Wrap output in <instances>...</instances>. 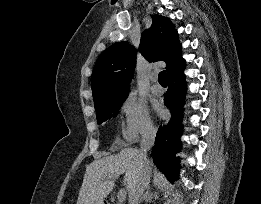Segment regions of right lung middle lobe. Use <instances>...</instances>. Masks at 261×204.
<instances>
[{"label": "right lung middle lobe", "instance_id": "1", "mask_svg": "<svg viewBox=\"0 0 261 204\" xmlns=\"http://www.w3.org/2000/svg\"><path fill=\"white\" fill-rule=\"evenodd\" d=\"M126 97L127 96H124L114 102L97 105L95 107V110H96L98 124H101L102 122L112 117H116L119 108L121 107Z\"/></svg>", "mask_w": 261, "mask_h": 204}]
</instances>
